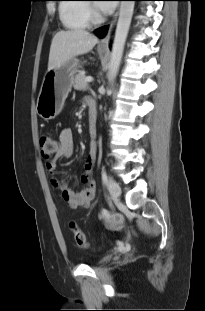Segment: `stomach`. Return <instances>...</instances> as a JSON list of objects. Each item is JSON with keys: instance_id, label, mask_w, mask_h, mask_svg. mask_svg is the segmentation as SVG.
I'll return each instance as SVG.
<instances>
[{"instance_id": "0dacf381", "label": "stomach", "mask_w": 205, "mask_h": 311, "mask_svg": "<svg viewBox=\"0 0 205 311\" xmlns=\"http://www.w3.org/2000/svg\"><path fill=\"white\" fill-rule=\"evenodd\" d=\"M103 53L99 50L100 55ZM79 68V60L73 58L57 69H48L37 99L36 110L41 118L54 119L61 112Z\"/></svg>"}]
</instances>
